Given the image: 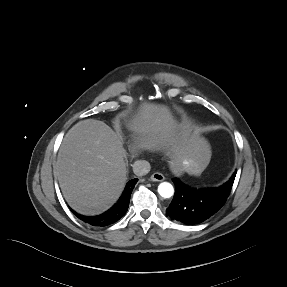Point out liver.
Instances as JSON below:
<instances>
[{"instance_id":"6515ba94","label":"liver","mask_w":287,"mask_h":287,"mask_svg":"<svg viewBox=\"0 0 287 287\" xmlns=\"http://www.w3.org/2000/svg\"><path fill=\"white\" fill-rule=\"evenodd\" d=\"M126 125L133 133L132 151L165 150L174 174H200L210 162L208 143L182 129L164 105L143 103ZM56 166L65 200L84 215L110 208L127 180L126 150L120 137L94 119L80 121L69 130Z\"/></svg>"}]
</instances>
